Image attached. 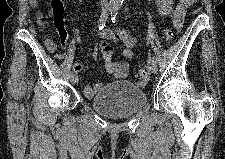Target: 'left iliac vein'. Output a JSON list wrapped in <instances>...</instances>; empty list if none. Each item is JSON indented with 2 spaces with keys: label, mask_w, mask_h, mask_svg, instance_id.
Returning a JSON list of instances; mask_svg holds the SVG:
<instances>
[{
  "label": "left iliac vein",
  "mask_w": 225,
  "mask_h": 159,
  "mask_svg": "<svg viewBox=\"0 0 225 159\" xmlns=\"http://www.w3.org/2000/svg\"><path fill=\"white\" fill-rule=\"evenodd\" d=\"M150 70L154 74L157 73L158 68H157V64L155 62H151V64H150Z\"/></svg>",
  "instance_id": "4c4485c4"
}]
</instances>
